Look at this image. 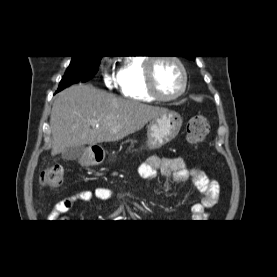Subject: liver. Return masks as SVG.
<instances>
[{
	"mask_svg": "<svg viewBox=\"0 0 277 277\" xmlns=\"http://www.w3.org/2000/svg\"><path fill=\"white\" fill-rule=\"evenodd\" d=\"M165 112L166 108L121 99L92 85L71 86L57 95L52 107L51 154L70 146L122 140Z\"/></svg>",
	"mask_w": 277,
	"mask_h": 277,
	"instance_id": "1",
	"label": "liver"
}]
</instances>
